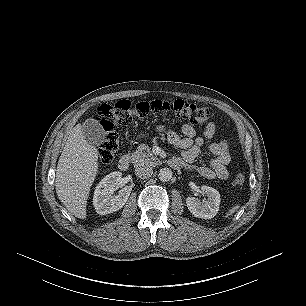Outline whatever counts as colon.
<instances>
[{
  "instance_id": "5ec220e1",
  "label": "colon",
  "mask_w": 306,
  "mask_h": 306,
  "mask_svg": "<svg viewBox=\"0 0 306 306\" xmlns=\"http://www.w3.org/2000/svg\"><path fill=\"white\" fill-rule=\"evenodd\" d=\"M155 113H169L193 125L202 124L213 115L209 107L188 103L184 100H155L136 103L123 100L114 105L101 104L98 108L100 125L104 132V140L99 149L101 165H109L119 149V136L116 125H128L134 119L144 118ZM244 181L245 176L239 173L235 176L233 185L241 186Z\"/></svg>"
}]
</instances>
